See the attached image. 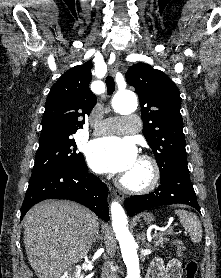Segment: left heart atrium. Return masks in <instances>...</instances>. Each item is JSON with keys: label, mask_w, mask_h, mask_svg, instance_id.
Segmentation results:
<instances>
[{"label": "left heart atrium", "mask_w": 221, "mask_h": 278, "mask_svg": "<svg viewBox=\"0 0 221 278\" xmlns=\"http://www.w3.org/2000/svg\"><path fill=\"white\" fill-rule=\"evenodd\" d=\"M89 166L98 173L125 174L136 162L135 144L119 137L92 140L86 149Z\"/></svg>", "instance_id": "left-heart-atrium-1"}]
</instances>
